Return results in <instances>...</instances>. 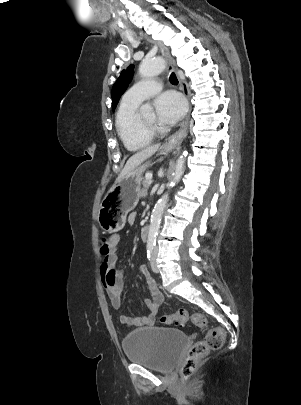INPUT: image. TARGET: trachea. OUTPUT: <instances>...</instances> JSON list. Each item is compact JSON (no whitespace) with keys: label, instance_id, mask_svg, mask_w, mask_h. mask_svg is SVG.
Instances as JSON below:
<instances>
[{"label":"trachea","instance_id":"trachea-1","mask_svg":"<svg viewBox=\"0 0 301 405\" xmlns=\"http://www.w3.org/2000/svg\"><path fill=\"white\" fill-rule=\"evenodd\" d=\"M170 82H171V84H173V85H177V84H178V79H177V77H176V75H175L174 72H172V74H171V76H170Z\"/></svg>","mask_w":301,"mask_h":405}]
</instances>
